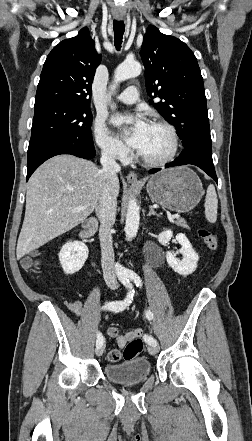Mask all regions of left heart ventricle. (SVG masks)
<instances>
[{
	"label": "left heart ventricle",
	"instance_id": "obj_1",
	"mask_svg": "<svg viewBox=\"0 0 252 441\" xmlns=\"http://www.w3.org/2000/svg\"><path fill=\"white\" fill-rule=\"evenodd\" d=\"M171 150V139L161 127L150 125L140 153L149 159H161Z\"/></svg>",
	"mask_w": 252,
	"mask_h": 441
}]
</instances>
